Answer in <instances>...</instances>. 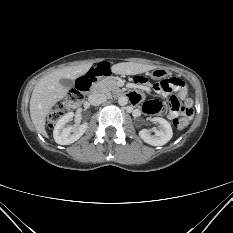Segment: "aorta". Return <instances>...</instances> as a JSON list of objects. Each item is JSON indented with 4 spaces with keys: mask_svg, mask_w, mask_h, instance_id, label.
Here are the masks:
<instances>
[{
    "mask_svg": "<svg viewBox=\"0 0 233 233\" xmlns=\"http://www.w3.org/2000/svg\"><path fill=\"white\" fill-rule=\"evenodd\" d=\"M128 103V98L127 96H120L118 98V104L121 106H125Z\"/></svg>",
    "mask_w": 233,
    "mask_h": 233,
    "instance_id": "762f6f07",
    "label": "aorta"
}]
</instances>
